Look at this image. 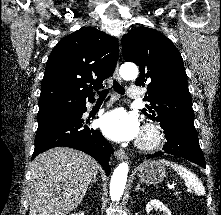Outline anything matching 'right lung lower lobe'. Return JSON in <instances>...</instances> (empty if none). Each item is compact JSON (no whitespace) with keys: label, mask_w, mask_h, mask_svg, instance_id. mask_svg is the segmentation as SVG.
Wrapping results in <instances>:
<instances>
[{"label":"right lung lower lobe","mask_w":221,"mask_h":215,"mask_svg":"<svg viewBox=\"0 0 221 215\" xmlns=\"http://www.w3.org/2000/svg\"><path fill=\"white\" fill-rule=\"evenodd\" d=\"M85 111L86 106L69 116L38 122L32 159L53 147H71L94 157L109 175L108 162L113 149L100 131L88 128L87 122L81 119Z\"/></svg>","instance_id":"98d812e1"}]
</instances>
